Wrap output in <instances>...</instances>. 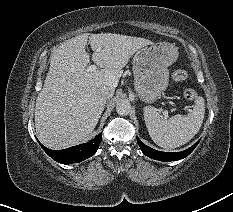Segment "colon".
Here are the masks:
<instances>
[{
  "instance_id": "obj_1",
  "label": "colon",
  "mask_w": 233,
  "mask_h": 212,
  "mask_svg": "<svg viewBox=\"0 0 233 212\" xmlns=\"http://www.w3.org/2000/svg\"><path fill=\"white\" fill-rule=\"evenodd\" d=\"M172 78L175 82H182L188 78V73L185 70H176L173 73ZM183 95L187 100H190V101H193L198 97L197 92L193 89H186L183 92Z\"/></svg>"
}]
</instances>
